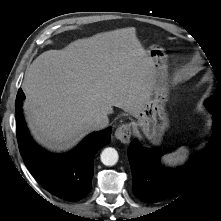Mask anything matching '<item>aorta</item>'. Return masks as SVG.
<instances>
[{
  "mask_svg": "<svg viewBox=\"0 0 221 221\" xmlns=\"http://www.w3.org/2000/svg\"><path fill=\"white\" fill-rule=\"evenodd\" d=\"M100 157L104 165L113 166L118 161V152L114 148L108 147L102 151Z\"/></svg>",
  "mask_w": 221,
  "mask_h": 221,
  "instance_id": "762f6f07",
  "label": "aorta"
}]
</instances>
